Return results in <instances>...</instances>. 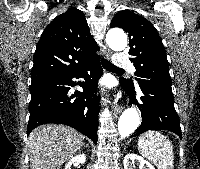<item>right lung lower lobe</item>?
I'll list each match as a JSON object with an SVG mask.
<instances>
[{
    "mask_svg": "<svg viewBox=\"0 0 200 169\" xmlns=\"http://www.w3.org/2000/svg\"><path fill=\"white\" fill-rule=\"evenodd\" d=\"M102 73L99 57H95L70 74L31 84L27 134L41 124H64L80 131L96 144L99 113L96 85ZM85 76V82L81 85L83 92H79L75 95L79 97L71 101L74 95L70 96L68 91L70 86L76 85L72 78Z\"/></svg>",
    "mask_w": 200,
    "mask_h": 169,
    "instance_id": "right-lung-lower-lobe-1",
    "label": "right lung lower lobe"
}]
</instances>
